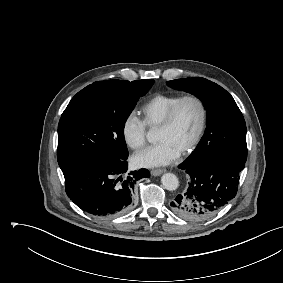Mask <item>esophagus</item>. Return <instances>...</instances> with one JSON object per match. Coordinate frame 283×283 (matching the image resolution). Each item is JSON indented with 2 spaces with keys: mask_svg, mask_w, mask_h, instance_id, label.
Listing matches in <instances>:
<instances>
[{
  "mask_svg": "<svg viewBox=\"0 0 283 283\" xmlns=\"http://www.w3.org/2000/svg\"><path fill=\"white\" fill-rule=\"evenodd\" d=\"M163 172H165V169H154L151 171V175L152 176H159L161 175Z\"/></svg>",
  "mask_w": 283,
  "mask_h": 283,
  "instance_id": "obj_1",
  "label": "esophagus"
}]
</instances>
